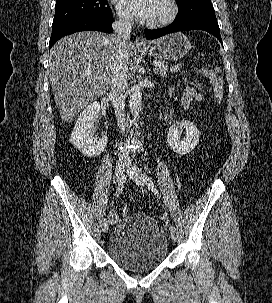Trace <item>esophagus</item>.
<instances>
[{"instance_id": "obj_1", "label": "esophagus", "mask_w": 272, "mask_h": 303, "mask_svg": "<svg viewBox=\"0 0 272 303\" xmlns=\"http://www.w3.org/2000/svg\"><path fill=\"white\" fill-rule=\"evenodd\" d=\"M136 47H146L148 44L145 39L141 36H138L135 40Z\"/></svg>"}]
</instances>
